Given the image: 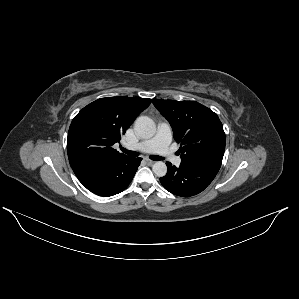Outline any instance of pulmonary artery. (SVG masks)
<instances>
[{
	"label": "pulmonary artery",
	"instance_id": "obj_1",
	"mask_svg": "<svg viewBox=\"0 0 299 299\" xmlns=\"http://www.w3.org/2000/svg\"><path fill=\"white\" fill-rule=\"evenodd\" d=\"M172 130L167 122H161L158 125L156 135L148 140L141 141L134 145H127V148L144 153H156L178 166L181 158L172 154L170 149Z\"/></svg>",
	"mask_w": 299,
	"mask_h": 299
}]
</instances>
